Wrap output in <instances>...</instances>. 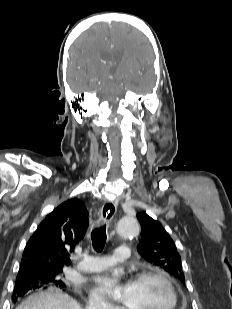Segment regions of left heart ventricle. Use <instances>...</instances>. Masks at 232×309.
<instances>
[{"label": "left heart ventricle", "mask_w": 232, "mask_h": 309, "mask_svg": "<svg viewBox=\"0 0 232 309\" xmlns=\"http://www.w3.org/2000/svg\"><path fill=\"white\" fill-rule=\"evenodd\" d=\"M125 297L126 309H166L171 301L166 286L154 278L131 283Z\"/></svg>", "instance_id": "1"}]
</instances>
